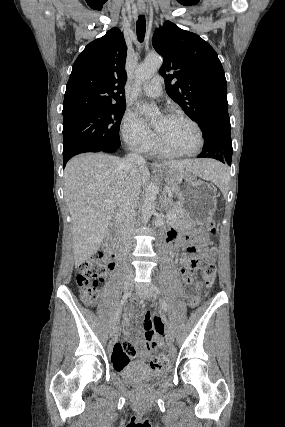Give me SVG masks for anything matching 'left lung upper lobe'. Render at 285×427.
I'll return each instance as SVG.
<instances>
[{"label":"left lung upper lobe","instance_id":"obj_1","mask_svg":"<svg viewBox=\"0 0 285 427\" xmlns=\"http://www.w3.org/2000/svg\"><path fill=\"white\" fill-rule=\"evenodd\" d=\"M152 44L164 59L159 72L166 92L186 115L200 127L230 123L225 73L215 50L170 21L155 31Z\"/></svg>","mask_w":285,"mask_h":427}]
</instances>
